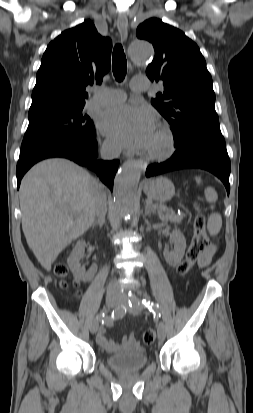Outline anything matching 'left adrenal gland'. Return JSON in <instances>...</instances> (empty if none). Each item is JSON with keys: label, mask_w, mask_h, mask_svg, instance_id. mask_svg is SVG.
Here are the masks:
<instances>
[{"label": "left adrenal gland", "mask_w": 253, "mask_h": 413, "mask_svg": "<svg viewBox=\"0 0 253 413\" xmlns=\"http://www.w3.org/2000/svg\"><path fill=\"white\" fill-rule=\"evenodd\" d=\"M151 213H152V214H155L156 212H155L154 209H152V208L150 207L149 203H147V204L145 205V216H148V215H150Z\"/></svg>", "instance_id": "a2214340"}]
</instances>
